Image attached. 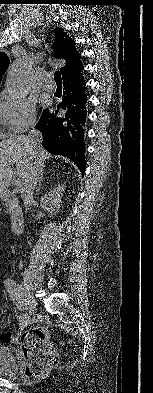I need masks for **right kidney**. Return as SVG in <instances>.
Listing matches in <instances>:
<instances>
[{
	"label": "right kidney",
	"instance_id": "right-kidney-1",
	"mask_svg": "<svg viewBox=\"0 0 153 393\" xmlns=\"http://www.w3.org/2000/svg\"><path fill=\"white\" fill-rule=\"evenodd\" d=\"M57 192L58 191H53L52 194L49 195V197H45L43 201V207H45L47 210H49L50 208L52 209L54 205L60 202L59 195L56 196Z\"/></svg>",
	"mask_w": 153,
	"mask_h": 393
}]
</instances>
